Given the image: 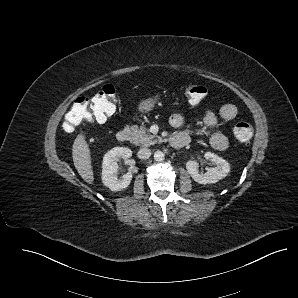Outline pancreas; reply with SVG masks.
Wrapping results in <instances>:
<instances>
[{"mask_svg": "<svg viewBox=\"0 0 298 298\" xmlns=\"http://www.w3.org/2000/svg\"><path fill=\"white\" fill-rule=\"evenodd\" d=\"M129 129L132 131L133 144L142 146H152L162 140L161 137H157L149 134V129L137 125H130Z\"/></svg>", "mask_w": 298, "mask_h": 298, "instance_id": "1", "label": "pancreas"}]
</instances>
